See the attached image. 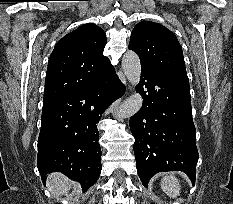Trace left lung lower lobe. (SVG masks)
<instances>
[{"mask_svg":"<svg viewBox=\"0 0 233 204\" xmlns=\"http://www.w3.org/2000/svg\"><path fill=\"white\" fill-rule=\"evenodd\" d=\"M137 90L143 98L130 118L138 175L147 187L158 172L180 170L195 183L198 151L189 81L142 67Z\"/></svg>","mask_w":233,"mask_h":204,"instance_id":"left-lung-lower-lobe-1","label":"left lung lower lobe"}]
</instances>
